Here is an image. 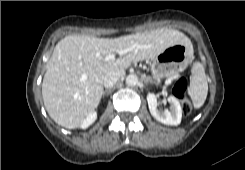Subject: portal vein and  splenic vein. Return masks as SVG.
Masks as SVG:
<instances>
[{
	"label": "portal vein and splenic vein",
	"mask_w": 245,
	"mask_h": 170,
	"mask_svg": "<svg viewBox=\"0 0 245 170\" xmlns=\"http://www.w3.org/2000/svg\"><path fill=\"white\" fill-rule=\"evenodd\" d=\"M131 50H132V48L122 49V50H119L117 53H118L119 55H124V54H126L127 52H129V51H131ZM115 56H116L115 53H111V54H109V55H107V56L105 57V61L113 60V59H115Z\"/></svg>",
	"instance_id": "1"
}]
</instances>
